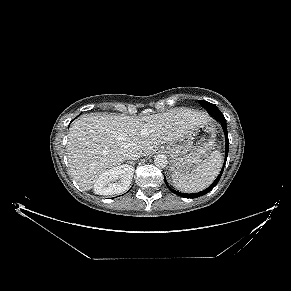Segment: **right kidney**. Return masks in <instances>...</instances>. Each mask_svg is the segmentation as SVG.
<instances>
[{"instance_id": "1", "label": "right kidney", "mask_w": 291, "mask_h": 291, "mask_svg": "<svg viewBox=\"0 0 291 291\" xmlns=\"http://www.w3.org/2000/svg\"><path fill=\"white\" fill-rule=\"evenodd\" d=\"M134 168L124 164L104 172L94 184V192L99 195H113L126 190L131 183Z\"/></svg>"}]
</instances>
